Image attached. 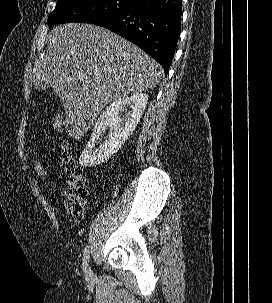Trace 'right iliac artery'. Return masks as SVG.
Wrapping results in <instances>:
<instances>
[{
    "instance_id": "82829eb1",
    "label": "right iliac artery",
    "mask_w": 272,
    "mask_h": 303,
    "mask_svg": "<svg viewBox=\"0 0 272 303\" xmlns=\"http://www.w3.org/2000/svg\"><path fill=\"white\" fill-rule=\"evenodd\" d=\"M89 246H86L84 248V252H83V271L86 272L87 271V266H88V261H89Z\"/></svg>"
}]
</instances>
